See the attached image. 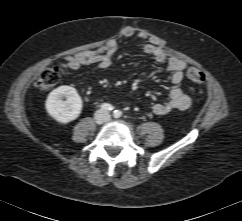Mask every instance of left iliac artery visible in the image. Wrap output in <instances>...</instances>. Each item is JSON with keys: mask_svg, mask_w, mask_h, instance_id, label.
I'll return each instance as SVG.
<instances>
[{"mask_svg": "<svg viewBox=\"0 0 242 221\" xmlns=\"http://www.w3.org/2000/svg\"><path fill=\"white\" fill-rule=\"evenodd\" d=\"M121 115H122V112L119 111V110H115V111L113 112V116H114L115 118H119V117H121Z\"/></svg>", "mask_w": 242, "mask_h": 221, "instance_id": "obj_1", "label": "left iliac artery"}]
</instances>
